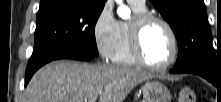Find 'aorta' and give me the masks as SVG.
I'll return each mask as SVG.
<instances>
[{
  "label": "aorta",
  "instance_id": "1",
  "mask_svg": "<svg viewBox=\"0 0 221 102\" xmlns=\"http://www.w3.org/2000/svg\"><path fill=\"white\" fill-rule=\"evenodd\" d=\"M116 2L119 5L118 10H117L118 16L121 17L122 19H128L131 14L129 7L124 5L122 3V0H116Z\"/></svg>",
  "mask_w": 221,
  "mask_h": 102
}]
</instances>
